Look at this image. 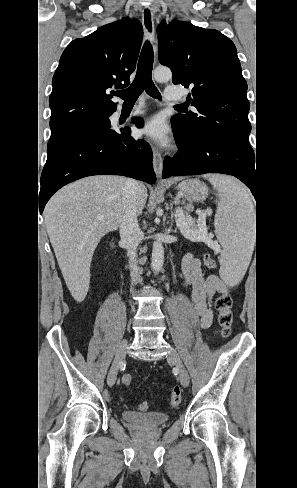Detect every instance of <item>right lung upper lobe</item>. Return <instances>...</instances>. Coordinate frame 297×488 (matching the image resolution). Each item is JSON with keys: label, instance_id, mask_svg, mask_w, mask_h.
<instances>
[{"label": "right lung upper lobe", "instance_id": "right-lung-upper-lobe-1", "mask_svg": "<svg viewBox=\"0 0 297 488\" xmlns=\"http://www.w3.org/2000/svg\"><path fill=\"white\" fill-rule=\"evenodd\" d=\"M142 37L140 22L126 18L68 45L52 81L51 133L108 118L116 111L111 94L129 84Z\"/></svg>", "mask_w": 297, "mask_h": 488}]
</instances>
